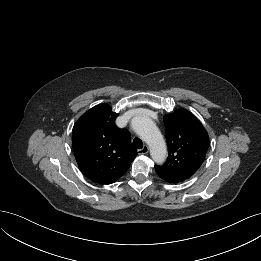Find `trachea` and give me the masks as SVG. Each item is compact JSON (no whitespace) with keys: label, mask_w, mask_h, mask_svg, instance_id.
I'll return each instance as SVG.
<instances>
[{"label":"trachea","mask_w":261,"mask_h":261,"mask_svg":"<svg viewBox=\"0 0 261 261\" xmlns=\"http://www.w3.org/2000/svg\"><path fill=\"white\" fill-rule=\"evenodd\" d=\"M133 147L136 149H141L143 144L142 141L139 138H135L132 143Z\"/></svg>","instance_id":"obj_1"}]
</instances>
